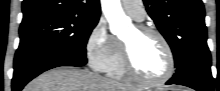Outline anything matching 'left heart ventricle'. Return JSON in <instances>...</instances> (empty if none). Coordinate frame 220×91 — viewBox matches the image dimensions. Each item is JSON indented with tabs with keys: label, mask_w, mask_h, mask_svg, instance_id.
Segmentation results:
<instances>
[{
	"label": "left heart ventricle",
	"mask_w": 220,
	"mask_h": 91,
	"mask_svg": "<svg viewBox=\"0 0 220 91\" xmlns=\"http://www.w3.org/2000/svg\"><path fill=\"white\" fill-rule=\"evenodd\" d=\"M123 41L130 47L133 63L146 78H158L168 67L166 51L162 43L152 35H140L132 28Z\"/></svg>",
	"instance_id": "b2bd125f"
}]
</instances>
